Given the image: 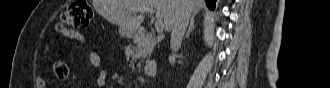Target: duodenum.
Listing matches in <instances>:
<instances>
[{"mask_svg":"<svg viewBox=\"0 0 330 88\" xmlns=\"http://www.w3.org/2000/svg\"><path fill=\"white\" fill-rule=\"evenodd\" d=\"M144 34L140 31H137L136 33H133L132 38L133 40H137L140 41L144 38ZM158 69V65L155 62H149L146 64L145 68H144V72L147 75H154L157 72Z\"/></svg>","mask_w":330,"mask_h":88,"instance_id":"duodenum-1","label":"duodenum"}]
</instances>
